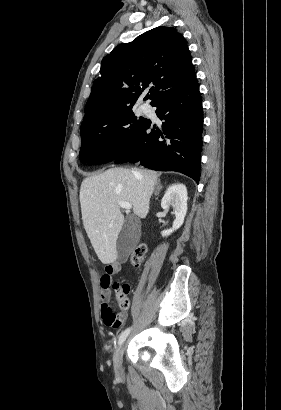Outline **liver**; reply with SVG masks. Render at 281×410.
Returning a JSON list of instances; mask_svg holds the SVG:
<instances>
[{
  "instance_id": "liver-1",
  "label": "liver",
  "mask_w": 281,
  "mask_h": 410,
  "mask_svg": "<svg viewBox=\"0 0 281 410\" xmlns=\"http://www.w3.org/2000/svg\"><path fill=\"white\" fill-rule=\"evenodd\" d=\"M159 174L147 169L112 168L83 180L80 205L84 229L98 259L117 260L116 243L124 224L119 202H128L134 213L145 218Z\"/></svg>"
}]
</instances>
